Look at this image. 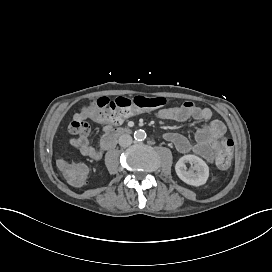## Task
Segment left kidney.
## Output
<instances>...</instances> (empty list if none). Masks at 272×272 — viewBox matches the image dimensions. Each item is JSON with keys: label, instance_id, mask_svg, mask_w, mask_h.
<instances>
[{"label": "left kidney", "instance_id": "5707ae66", "mask_svg": "<svg viewBox=\"0 0 272 272\" xmlns=\"http://www.w3.org/2000/svg\"><path fill=\"white\" fill-rule=\"evenodd\" d=\"M187 163L192 165L190 169L186 167ZM193 170H196V172ZM176 172L184 182L190 185H201L208 178L209 168L201 158L194 155H186L177 161Z\"/></svg>", "mask_w": 272, "mask_h": 272}]
</instances>
